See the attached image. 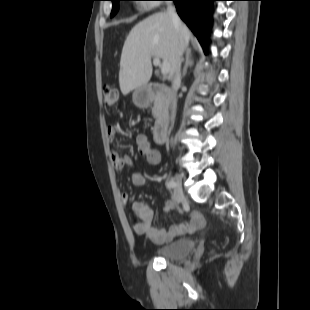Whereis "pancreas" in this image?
I'll use <instances>...</instances> for the list:
<instances>
[{
  "mask_svg": "<svg viewBox=\"0 0 310 310\" xmlns=\"http://www.w3.org/2000/svg\"><path fill=\"white\" fill-rule=\"evenodd\" d=\"M159 102L155 101L154 102V107L152 108V114L156 118L159 115Z\"/></svg>",
  "mask_w": 310,
  "mask_h": 310,
  "instance_id": "cf45deb5",
  "label": "pancreas"
}]
</instances>
